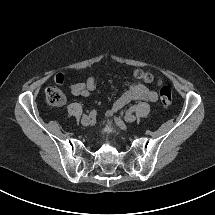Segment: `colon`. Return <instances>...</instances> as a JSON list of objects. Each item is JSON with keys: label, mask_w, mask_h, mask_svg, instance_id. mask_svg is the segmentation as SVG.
<instances>
[{"label": "colon", "mask_w": 215, "mask_h": 215, "mask_svg": "<svg viewBox=\"0 0 215 215\" xmlns=\"http://www.w3.org/2000/svg\"><path fill=\"white\" fill-rule=\"evenodd\" d=\"M134 76L144 82L150 83L153 81V76L145 71L136 70ZM64 81V76L58 74L56 76V82L62 84ZM160 101L163 105L168 106L172 102V91L168 87H161L159 91ZM45 100L51 106H60L65 102V95L63 91L57 86H51L46 89Z\"/></svg>", "instance_id": "1"}]
</instances>
